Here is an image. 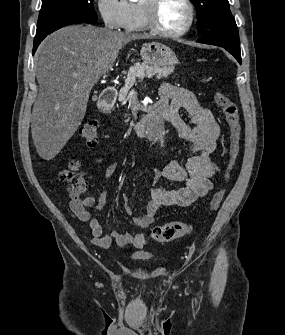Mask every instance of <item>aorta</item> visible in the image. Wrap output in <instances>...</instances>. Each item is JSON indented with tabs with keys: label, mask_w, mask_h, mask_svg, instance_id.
Listing matches in <instances>:
<instances>
[{
	"label": "aorta",
	"mask_w": 285,
	"mask_h": 335,
	"mask_svg": "<svg viewBox=\"0 0 285 335\" xmlns=\"http://www.w3.org/2000/svg\"><path fill=\"white\" fill-rule=\"evenodd\" d=\"M134 2V0H130ZM166 119H151L148 127H141V134H150L151 137H164L165 134H170V127H167ZM159 144L157 141L154 143Z\"/></svg>",
	"instance_id": "762f6f07"
}]
</instances>
